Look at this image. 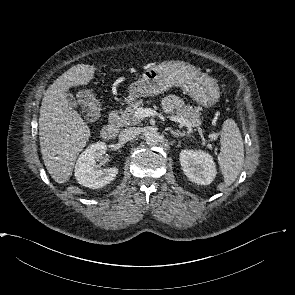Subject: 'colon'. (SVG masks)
I'll return each mask as SVG.
<instances>
[{
  "mask_svg": "<svg viewBox=\"0 0 295 295\" xmlns=\"http://www.w3.org/2000/svg\"><path fill=\"white\" fill-rule=\"evenodd\" d=\"M98 114V109L93 103L92 97H87V105H86V117L88 120L92 121L96 119Z\"/></svg>",
  "mask_w": 295,
  "mask_h": 295,
  "instance_id": "5ec220e1",
  "label": "colon"
}]
</instances>
